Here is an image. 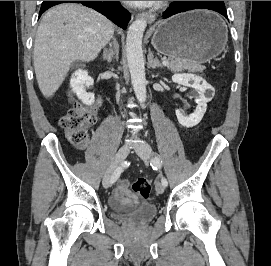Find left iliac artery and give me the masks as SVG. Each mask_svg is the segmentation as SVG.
<instances>
[{
    "mask_svg": "<svg viewBox=\"0 0 271 266\" xmlns=\"http://www.w3.org/2000/svg\"><path fill=\"white\" fill-rule=\"evenodd\" d=\"M150 165L153 169L158 170L161 168V160L159 156H155L152 160ZM161 183L166 187L168 185L167 179L165 177H162Z\"/></svg>",
    "mask_w": 271,
    "mask_h": 266,
    "instance_id": "left-iliac-artery-1",
    "label": "left iliac artery"
}]
</instances>
